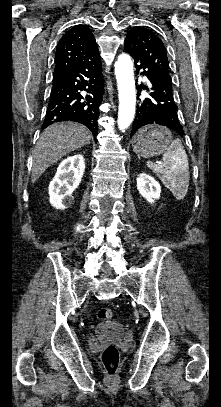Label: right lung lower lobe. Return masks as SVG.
I'll return each instance as SVG.
<instances>
[{"instance_id":"98d812e1","label":"right lung lower lobe","mask_w":221,"mask_h":407,"mask_svg":"<svg viewBox=\"0 0 221 407\" xmlns=\"http://www.w3.org/2000/svg\"><path fill=\"white\" fill-rule=\"evenodd\" d=\"M103 82L98 50L89 59L54 75L42 129L55 122L75 121L87 126L96 137Z\"/></svg>"}]
</instances>
